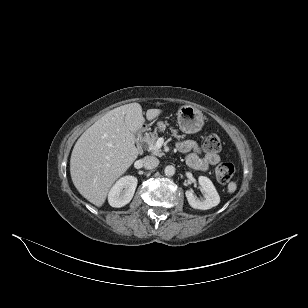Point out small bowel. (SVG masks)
<instances>
[{
    "label": "small bowel",
    "instance_id": "1",
    "mask_svg": "<svg viewBox=\"0 0 308 308\" xmlns=\"http://www.w3.org/2000/svg\"><path fill=\"white\" fill-rule=\"evenodd\" d=\"M178 149L186 154L187 164L198 171H207L211 166L216 165L220 161V156L217 152H207L201 156V148L196 142L191 140L180 142Z\"/></svg>",
    "mask_w": 308,
    "mask_h": 308
}]
</instances>
